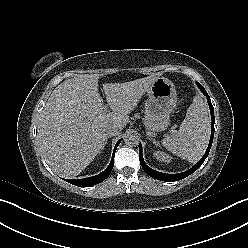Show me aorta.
Here are the masks:
<instances>
[{
    "label": "aorta",
    "instance_id": "aorta-1",
    "mask_svg": "<svg viewBox=\"0 0 248 248\" xmlns=\"http://www.w3.org/2000/svg\"><path fill=\"white\" fill-rule=\"evenodd\" d=\"M124 141L127 146L133 147L138 145L139 136L133 132H130L126 134Z\"/></svg>",
    "mask_w": 248,
    "mask_h": 248
}]
</instances>
